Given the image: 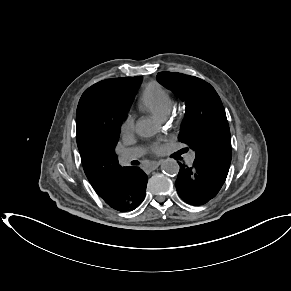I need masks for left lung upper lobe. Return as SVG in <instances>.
I'll return each mask as SVG.
<instances>
[{"mask_svg": "<svg viewBox=\"0 0 291 291\" xmlns=\"http://www.w3.org/2000/svg\"><path fill=\"white\" fill-rule=\"evenodd\" d=\"M157 80L185 102L178 139L195 151V160L227 176L232 158L230 129L215 89L200 78L182 73L160 72Z\"/></svg>", "mask_w": 291, "mask_h": 291, "instance_id": "1", "label": "left lung upper lobe"}]
</instances>
